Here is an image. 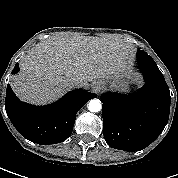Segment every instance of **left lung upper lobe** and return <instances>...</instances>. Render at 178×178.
<instances>
[{"label": "left lung upper lobe", "mask_w": 178, "mask_h": 178, "mask_svg": "<svg viewBox=\"0 0 178 178\" xmlns=\"http://www.w3.org/2000/svg\"><path fill=\"white\" fill-rule=\"evenodd\" d=\"M141 53H144L143 50H138L137 54H141Z\"/></svg>", "instance_id": "obj_1"}]
</instances>
